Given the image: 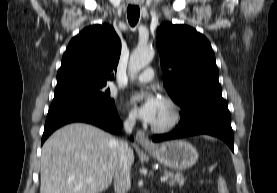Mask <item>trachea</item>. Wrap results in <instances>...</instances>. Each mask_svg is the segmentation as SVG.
<instances>
[{
  "label": "trachea",
  "mask_w": 277,
  "mask_h": 193,
  "mask_svg": "<svg viewBox=\"0 0 277 193\" xmlns=\"http://www.w3.org/2000/svg\"><path fill=\"white\" fill-rule=\"evenodd\" d=\"M127 17H128V21L130 23V25L132 27H134L140 17V9L137 6H128L127 9Z\"/></svg>",
  "instance_id": "trachea-1"
}]
</instances>
